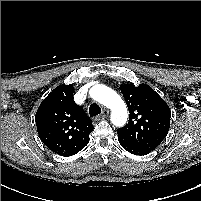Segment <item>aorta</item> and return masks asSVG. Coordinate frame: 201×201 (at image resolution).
Returning <instances> with one entry per match:
<instances>
[{
	"mask_svg": "<svg viewBox=\"0 0 201 201\" xmlns=\"http://www.w3.org/2000/svg\"><path fill=\"white\" fill-rule=\"evenodd\" d=\"M91 97L111 110V121L114 125L123 126L128 118L127 107L121 97L111 88L95 85L90 90Z\"/></svg>",
	"mask_w": 201,
	"mask_h": 201,
	"instance_id": "762f6f07",
	"label": "aorta"
}]
</instances>
